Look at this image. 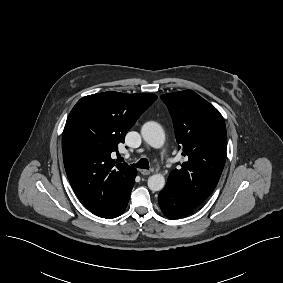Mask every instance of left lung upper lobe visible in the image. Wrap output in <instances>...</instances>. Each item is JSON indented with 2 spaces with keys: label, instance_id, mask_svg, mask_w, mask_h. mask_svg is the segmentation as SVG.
<instances>
[{
  "label": "left lung upper lobe",
  "instance_id": "1",
  "mask_svg": "<svg viewBox=\"0 0 283 283\" xmlns=\"http://www.w3.org/2000/svg\"><path fill=\"white\" fill-rule=\"evenodd\" d=\"M172 117L176 141L187 157L171 171L172 183L198 207L215 189L226 160L227 132L220 112L192 90L161 96Z\"/></svg>",
  "mask_w": 283,
  "mask_h": 283
}]
</instances>
